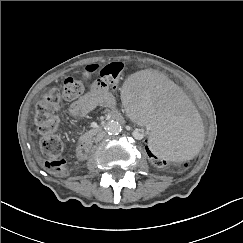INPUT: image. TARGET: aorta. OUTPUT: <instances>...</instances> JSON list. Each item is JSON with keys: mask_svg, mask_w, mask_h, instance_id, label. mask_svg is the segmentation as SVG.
I'll list each match as a JSON object with an SVG mask.
<instances>
[{"mask_svg": "<svg viewBox=\"0 0 243 243\" xmlns=\"http://www.w3.org/2000/svg\"><path fill=\"white\" fill-rule=\"evenodd\" d=\"M122 130V126L119 122L117 121H110L106 125V131L111 134V135H116L119 134Z\"/></svg>", "mask_w": 243, "mask_h": 243, "instance_id": "1", "label": "aorta"}]
</instances>
